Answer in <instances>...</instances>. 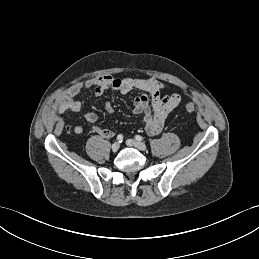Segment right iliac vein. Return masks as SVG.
<instances>
[{
    "mask_svg": "<svg viewBox=\"0 0 259 259\" xmlns=\"http://www.w3.org/2000/svg\"><path fill=\"white\" fill-rule=\"evenodd\" d=\"M112 151L116 152L119 150L120 148V143L119 142H115L113 145H112Z\"/></svg>",
    "mask_w": 259,
    "mask_h": 259,
    "instance_id": "obj_1",
    "label": "right iliac vein"
}]
</instances>
